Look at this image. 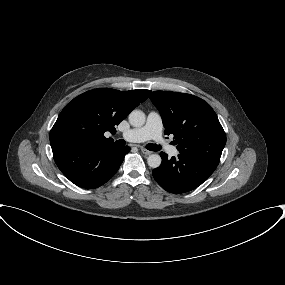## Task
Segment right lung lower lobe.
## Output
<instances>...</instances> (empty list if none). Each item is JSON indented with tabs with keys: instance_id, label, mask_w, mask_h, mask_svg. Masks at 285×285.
Masks as SVG:
<instances>
[{
	"instance_id": "obj_1",
	"label": "right lung lower lobe",
	"mask_w": 285,
	"mask_h": 285,
	"mask_svg": "<svg viewBox=\"0 0 285 285\" xmlns=\"http://www.w3.org/2000/svg\"><path fill=\"white\" fill-rule=\"evenodd\" d=\"M55 163L75 185L94 189L111 179L118 171L128 146H88L80 143L52 145Z\"/></svg>"
}]
</instances>
